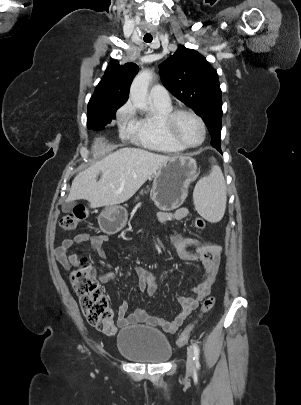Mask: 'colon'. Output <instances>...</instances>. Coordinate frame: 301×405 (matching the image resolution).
Segmentation results:
<instances>
[{
	"label": "colon",
	"mask_w": 301,
	"mask_h": 405,
	"mask_svg": "<svg viewBox=\"0 0 301 405\" xmlns=\"http://www.w3.org/2000/svg\"><path fill=\"white\" fill-rule=\"evenodd\" d=\"M88 217V209L85 206H77L66 213L60 219V226L65 231H73L81 222ZM196 229H203L206 221L196 218L193 222ZM71 281L77 292L82 312L88 323L97 329L111 333L114 329L113 313L109 301L101 289L95 275V271L85 259H81L80 265L71 273ZM215 305V297H206L202 303L199 317L209 312ZM194 324L188 326L178 337L177 345H185L192 333Z\"/></svg>",
	"instance_id": "1"
}]
</instances>
